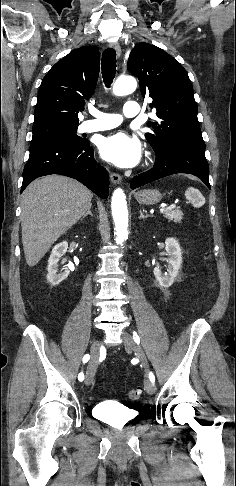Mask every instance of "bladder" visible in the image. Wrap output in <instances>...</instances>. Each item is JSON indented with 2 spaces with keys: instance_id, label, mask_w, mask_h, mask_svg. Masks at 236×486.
<instances>
[{
  "instance_id": "obj_1",
  "label": "bladder",
  "mask_w": 236,
  "mask_h": 486,
  "mask_svg": "<svg viewBox=\"0 0 236 486\" xmlns=\"http://www.w3.org/2000/svg\"><path fill=\"white\" fill-rule=\"evenodd\" d=\"M93 412L96 418L113 425H124L137 417L135 411L112 401L98 402Z\"/></svg>"
}]
</instances>
